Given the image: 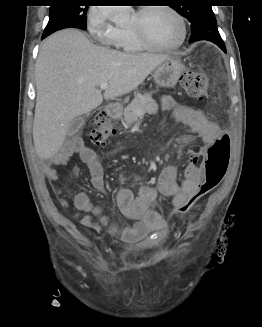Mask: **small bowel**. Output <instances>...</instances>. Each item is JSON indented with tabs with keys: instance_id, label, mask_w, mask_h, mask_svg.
Returning a JSON list of instances; mask_svg holds the SVG:
<instances>
[{
	"instance_id": "small-bowel-1",
	"label": "small bowel",
	"mask_w": 262,
	"mask_h": 327,
	"mask_svg": "<svg viewBox=\"0 0 262 327\" xmlns=\"http://www.w3.org/2000/svg\"><path fill=\"white\" fill-rule=\"evenodd\" d=\"M161 107L166 111H173L176 119L197 133L202 139L204 146L202 153H186L185 159L188 161L186 170L183 171L185 179L178 181L177 169L175 166H167L159 175L158 183L155 187H142L135 195L131 190L120 188L114 198L115 207L121 214L135 223L132 226L123 227L119 222L104 214L94 207L91 198L85 192H79L74 198L75 208L80 212L78 217L84 226L98 230L101 225L106 226L113 234L119 235L123 240L135 242L143 238L151 231H161L165 227V221L156 209L157 196L162 195L170 199L171 213L177 214L179 206H187L188 194L194 193L199 182L203 181L202 160L207 154V149L211 148V143H217L218 136L224 135L221 128L205 117L198 109L175 101L171 96H164L161 99ZM78 154L81 160L87 165L91 184L97 190L104 188V169L96 157L93 149L85 145L79 137H72L62 149L51 159L45 167V176L50 183L58 179L55 166L67 164L73 154ZM125 175H119L120 183L126 182ZM54 192L59 195L60 189L53 187ZM63 207H68V202L60 199ZM97 216L99 223L93 216Z\"/></svg>"
}]
</instances>
